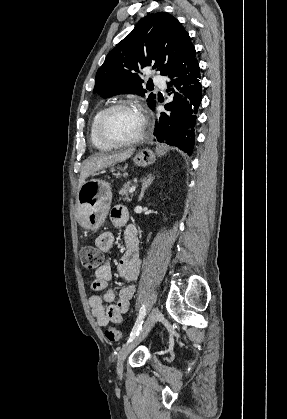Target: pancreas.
I'll return each mask as SVG.
<instances>
[{
	"mask_svg": "<svg viewBox=\"0 0 287 419\" xmlns=\"http://www.w3.org/2000/svg\"><path fill=\"white\" fill-rule=\"evenodd\" d=\"M130 189H131V183L128 182V183L124 184L123 187L120 189L119 195L122 196L124 198V200L129 201V191H130Z\"/></svg>",
	"mask_w": 287,
	"mask_h": 419,
	"instance_id": "cf45deb5",
	"label": "pancreas"
}]
</instances>
